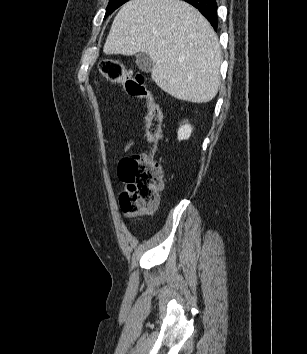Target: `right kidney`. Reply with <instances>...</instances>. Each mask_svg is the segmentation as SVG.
<instances>
[{"mask_svg": "<svg viewBox=\"0 0 307 354\" xmlns=\"http://www.w3.org/2000/svg\"><path fill=\"white\" fill-rule=\"evenodd\" d=\"M192 126L188 123L183 124L178 130V140H186L192 133Z\"/></svg>", "mask_w": 307, "mask_h": 354, "instance_id": "obj_1", "label": "right kidney"}]
</instances>
